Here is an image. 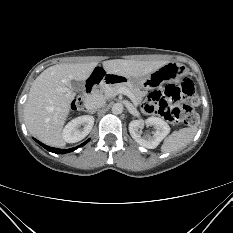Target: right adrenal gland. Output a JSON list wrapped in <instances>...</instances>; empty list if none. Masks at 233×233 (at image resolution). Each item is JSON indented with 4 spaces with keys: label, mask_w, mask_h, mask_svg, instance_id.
<instances>
[{
    "label": "right adrenal gland",
    "mask_w": 233,
    "mask_h": 233,
    "mask_svg": "<svg viewBox=\"0 0 233 233\" xmlns=\"http://www.w3.org/2000/svg\"><path fill=\"white\" fill-rule=\"evenodd\" d=\"M84 112L90 113V114H94L96 111H90V110H83Z\"/></svg>",
    "instance_id": "obj_1"
}]
</instances>
